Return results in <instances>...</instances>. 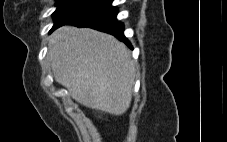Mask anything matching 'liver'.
I'll use <instances>...</instances> for the list:
<instances>
[{
    "label": "liver",
    "instance_id": "liver-1",
    "mask_svg": "<svg viewBox=\"0 0 227 142\" xmlns=\"http://www.w3.org/2000/svg\"><path fill=\"white\" fill-rule=\"evenodd\" d=\"M55 81L78 103L122 115L130 107L135 64L115 37L89 28L63 26L49 39Z\"/></svg>",
    "mask_w": 227,
    "mask_h": 142
}]
</instances>
